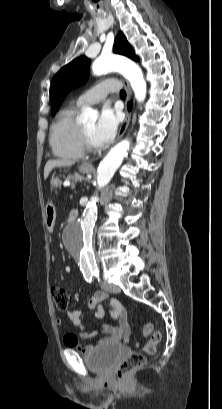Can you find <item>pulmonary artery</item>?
I'll return each instance as SVG.
<instances>
[{
	"instance_id": "pulmonary-artery-1",
	"label": "pulmonary artery",
	"mask_w": 222,
	"mask_h": 409,
	"mask_svg": "<svg viewBox=\"0 0 222 409\" xmlns=\"http://www.w3.org/2000/svg\"><path fill=\"white\" fill-rule=\"evenodd\" d=\"M119 86L117 82L104 80L81 94L77 99V104L80 106L94 105L105 99L109 93L116 92Z\"/></svg>"
}]
</instances>
